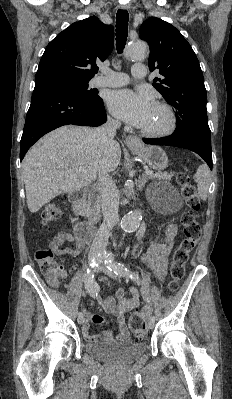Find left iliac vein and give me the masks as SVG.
<instances>
[{"label": "left iliac vein", "instance_id": "1", "mask_svg": "<svg viewBox=\"0 0 232 399\" xmlns=\"http://www.w3.org/2000/svg\"><path fill=\"white\" fill-rule=\"evenodd\" d=\"M103 271H105L106 272V276L107 277H109L110 279H113L114 281H117L118 280V277L117 276H114V273L113 272H110V269L109 268H100V267H97L96 269H94V272H103ZM153 324H154V322L153 321H150L149 323H147V328H154L153 327Z\"/></svg>", "mask_w": 232, "mask_h": 399}]
</instances>
